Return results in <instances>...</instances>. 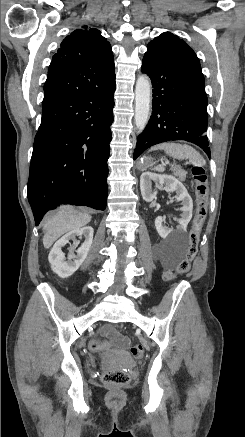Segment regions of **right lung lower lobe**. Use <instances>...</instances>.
<instances>
[{"label":"right lung lower lobe","mask_w":245,"mask_h":437,"mask_svg":"<svg viewBox=\"0 0 245 437\" xmlns=\"http://www.w3.org/2000/svg\"><path fill=\"white\" fill-rule=\"evenodd\" d=\"M114 92L115 79L42 110L27 188L36 225L63 203L106 208Z\"/></svg>","instance_id":"obj_1"}]
</instances>
